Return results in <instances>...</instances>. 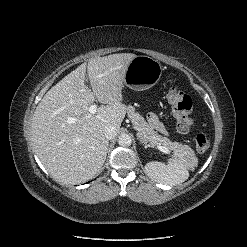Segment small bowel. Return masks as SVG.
Masks as SVG:
<instances>
[{"mask_svg":"<svg viewBox=\"0 0 247 247\" xmlns=\"http://www.w3.org/2000/svg\"><path fill=\"white\" fill-rule=\"evenodd\" d=\"M148 120L150 122V124L156 128L157 130L166 133V129L164 127V125L162 124V122L160 121V119L157 117V115L151 113L148 115Z\"/></svg>","mask_w":247,"mask_h":247,"instance_id":"obj_1","label":"small bowel"}]
</instances>
